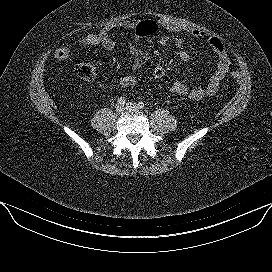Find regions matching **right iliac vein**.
I'll return each mask as SVG.
<instances>
[{
    "label": "right iliac vein",
    "mask_w": 272,
    "mask_h": 272,
    "mask_svg": "<svg viewBox=\"0 0 272 272\" xmlns=\"http://www.w3.org/2000/svg\"><path fill=\"white\" fill-rule=\"evenodd\" d=\"M124 110H125V108H124V106H122V105H118V106L116 107V113H117V114L122 113Z\"/></svg>",
    "instance_id": "right-iliac-vein-1"
}]
</instances>
